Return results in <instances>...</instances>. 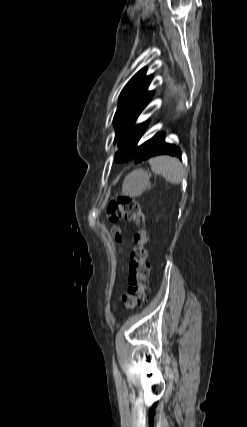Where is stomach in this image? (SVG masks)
<instances>
[{"label":"stomach","mask_w":247,"mask_h":427,"mask_svg":"<svg viewBox=\"0 0 247 427\" xmlns=\"http://www.w3.org/2000/svg\"><path fill=\"white\" fill-rule=\"evenodd\" d=\"M150 174L142 169L129 173L122 184V194L135 198L139 197L147 188Z\"/></svg>","instance_id":"1"}]
</instances>
